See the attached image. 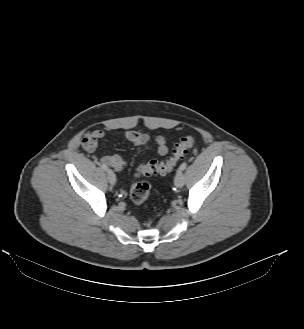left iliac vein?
<instances>
[{"label":"left iliac vein","mask_w":304,"mask_h":329,"mask_svg":"<svg viewBox=\"0 0 304 329\" xmlns=\"http://www.w3.org/2000/svg\"><path fill=\"white\" fill-rule=\"evenodd\" d=\"M174 184L177 188H182L184 185V174L181 169H179L175 175Z\"/></svg>","instance_id":"left-iliac-vein-1"}]
</instances>
